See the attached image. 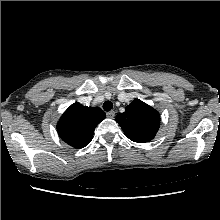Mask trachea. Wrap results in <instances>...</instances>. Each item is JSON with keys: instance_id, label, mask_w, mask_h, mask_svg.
Instances as JSON below:
<instances>
[{"instance_id": "1", "label": "trachea", "mask_w": 220, "mask_h": 220, "mask_svg": "<svg viewBox=\"0 0 220 220\" xmlns=\"http://www.w3.org/2000/svg\"><path fill=\"white\" fill-rule=\"evenodd\" d=\"M113 108V103L111 101H106L103 104V109L105 111H110Z\"/></svg>"}]
</instances>
